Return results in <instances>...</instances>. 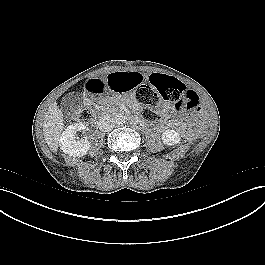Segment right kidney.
Returning <instances> with one entry per match:
<instances>
[{"instance_id":"right-kidney-1","label":"right kidney","mask_w":265,"mask_h":265,"mask_svg":"<svg viewBox=\"0 0 265 265\" xmlns=\"http://www.w3.org/2000/svg\"><path fill=\"white\" fill-rule=\"evenodd\" d=\"M86 129V125L82 122L74 123L63 131L59 145L61 150L74 157H81L87 154L90 149V142L88 140H76L75 134L77 131Z\"/></svg>"}]
</instances>
